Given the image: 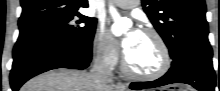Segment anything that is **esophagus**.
Wrapping results in <instances>:
<instances>
[{
    "mask_svg": "<svg viewBox=\"0 0 220 91\" xmlns=\"http://www.w3.org/2000/svg\"><path fill=\"white\" fill-rule=\"evenodd\" d=\"M117 87L119 90H124L126 88L125 84H122V83H118Z\"/></svg>",
    "mask_w": 220,
    "mask_h": 91,
    "instance_id": "34e87169",
    "label": "esophagus"
}]
</instances>
